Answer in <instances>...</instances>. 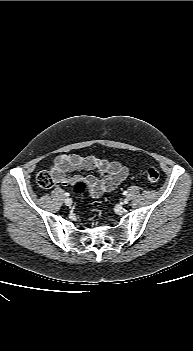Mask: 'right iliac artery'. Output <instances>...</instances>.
I'll list each match as a JSON object with an SVG mask.
<instances>
[{
	"label": "right iliac artery",
	"instance_id": "obj_1",
	"mask_svg": "<svg viewBox=\"0 0 193 351\" xmlns=\"http://www.w3.org/2000/svg\"><path fill=\"white\" fill-rule=\"evenodd\" d=\"M70 194L69 193H65V196H69Z\"/></svg>",
	"mask_w": 193,
	"mask_h": 351
}]
</instances>
